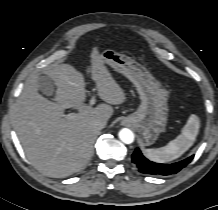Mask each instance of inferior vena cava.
<instances>
[{
  "mask_svg": "<svg viewBox=\"0 0 218 210\" xmlns=\"http://www.w3.org/2000/svg\"><path fill=\"white\" fill-rule=\"evenodd\" d=\"M105 126H106V121L105 120H99V121H96L94 123V127L97 130H101V129L105 128Z\"/></svg>",
  "mask_w": 218,
  "mask_h": 210,
  "instance_id": "obj_1",
  "label": "inferior vena cava"
}]
</instances>
